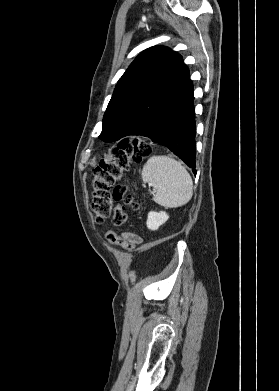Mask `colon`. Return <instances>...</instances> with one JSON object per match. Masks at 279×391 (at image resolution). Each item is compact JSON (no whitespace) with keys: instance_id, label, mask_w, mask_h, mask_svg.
<instances>
[{"instance_id":"obj_1","label":"colon","mask_w":279,"mask_h":391,"mask_svg":"<svg viewBox=\"0 0 279 391\" xmlns=\"http://www.w3.org/2000/svg\"><path fill=\"white\" fill-rule=\"evenodd\" d=\"M150 154V146L145 141L132 138L121 141L113 150L111 158L102 160L93 169L91 209L97 222H104L111 218L116 226L126 222L125 208L118 203L124 201L133 210L139 205L128 194L125 185L119 182L129 172L134 164L142 162ZM109 242L117 244L127 250H133L135 244L116 233H106Z\"/></svg>"}]
</instances>
